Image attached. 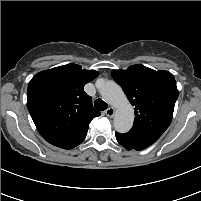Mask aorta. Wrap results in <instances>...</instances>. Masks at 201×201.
Returning a JSON list of instances; mask_svg holds the SVG:
<instances>
[{"label": "aorta", "instance_id": "aorta-1", "mask_svg": "<svg viewBox=\"0 0 201 201\" xmlns=\"http://www.w3.org/2000/svg\"><path fill=\"white\" fill-rule=\"evenodd\" d=\"M98 90L104 100L115 107L114 128L127 133L133 126L134 110L122 88L114 81H98Z\"/></svg>", "mask_w": 201, "mask_h": 201}]
</instances>
